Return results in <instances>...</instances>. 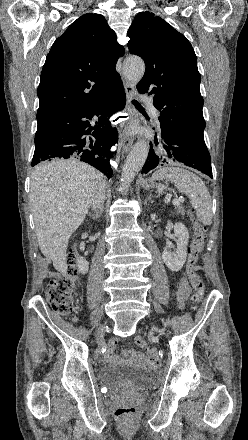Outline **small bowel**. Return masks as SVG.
<instances>
[{
  "label": "small bowel",
  "mask_w": 248,
  "mask_h": 440,
  "mask_svg": "<svg viewBox=\"0 0 248 440\" xmlns=\"http://www.w3.org/2000/svg\"><path fill=\"white\" fill-rule=\"evenodd\" d=\"M189 293H190V286L188 284V281L183 277L179 278L176 283V294L180 308L184 307L185 301L187 300ZM120 343L122 347H129L131 342L129 338H122ZM117 344H118L117 337H113L109 341L108 351H107V359L109 361L115 360L114 352ZM131 356L132 358L138 359L142 362L156 363L153 353H151L149 356H145L143 353H138V354L131 353Z\"/></svg>",
  "instance_id": "c3829d8e"
}]
</instances>
